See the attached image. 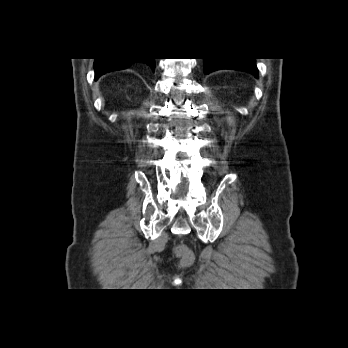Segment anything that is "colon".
<instances>
[{
  "label": "colon",
  "instance_id": "5ec220e1",
  "mask_svg": "<svg viewBox=\"0 0 348 348\" xmlns=\"http://www.w3.org/2000/svg\"><path fill=\"white\" fill-rule=\"evenodd\" d=\"M174 254L180 259L183 266H188L193 262L194 257L192 252L183 244H177L174 247Z\"/></svg>",
  "mask_w": 348,
  "mask_h": 348
}]
</instances>
